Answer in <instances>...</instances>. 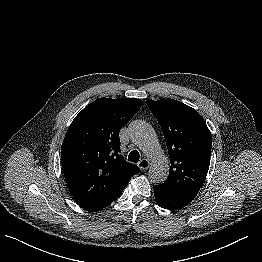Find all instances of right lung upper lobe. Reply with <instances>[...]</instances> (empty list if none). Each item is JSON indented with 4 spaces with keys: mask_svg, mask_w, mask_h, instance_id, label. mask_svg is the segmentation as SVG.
Segmentation results:
<instances>
[{
    "mask_svg": "<svg viewBox=\"0 0 262 262\" xmlns=\"http://www.w3.org/2000/svg\"><path fill=\"white\" fill-rule=\"evenodd\" d=\"M142 100L99 98L72 121L62 144L61 163L77 204L99 211L117 199L140 169L120 155V129Z\"/></svg>",
    "mask_w": 262,
    "mask_h": 262,
    "instance_id": "1",
    "label": "right lung upper lobe"
}]
</instances>
